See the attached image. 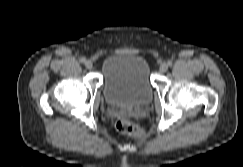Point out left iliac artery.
Returning a JSON list of instances; mask_svg holds the SVG:
<instances>
[{"mask_svg":"<svg viewBox=\"0 0 243 167\" xmlns=\"http://www.w3.org/2000/svg\"><path fill=\"white\" fill-rule=\"evenodd\" d=\"M168 65L171 66L172 65V61H168Z\"/></svg>","mask_w":243,"mask_h":167,"instance_id":"1","label":"left iliac artery"}]
</instances>
